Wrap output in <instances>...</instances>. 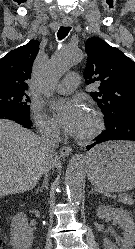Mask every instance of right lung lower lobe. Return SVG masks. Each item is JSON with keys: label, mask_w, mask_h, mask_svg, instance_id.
<instances>
[{"label": "right lung lower lobe", "mask_w": 135, "mask_h": 249, "mask_svg": "<svg viewBox=\"0 0 135 249\" xmlns=\"http://www.w3.org/2000/svg\"><path fill=\"white\" fill-rule=\"evenodd\" d=\"M0 118H6L23 125L25 128H31L29 114L24 113L12 106L0 105Z\"/></svg>", "instance_id": "1"}]
</instances>
